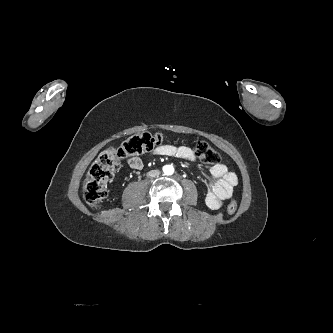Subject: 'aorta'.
Listing matches in <instances>:
<instances>
[{
    "instance_id": "762f6f07",
    "label": "aorta",
    "mask_w": 333,
    "mask_h": 333,
    "mask_svg": "<svg viewBox=\"0 0 333 333\" xmlns=\"http://www.w3.org/2000/svg\"><path fill=\"white\" fill-rule=\"evenodd\" d=\"M163 172L165 175H172L174 173V168L172 165H165L163 167Z\"/></svg>"
}]
</instances>
